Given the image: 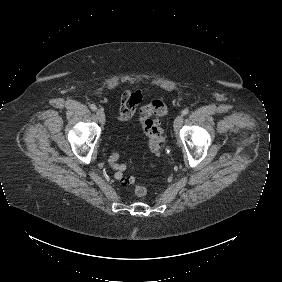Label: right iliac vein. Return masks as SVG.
Here are the masks:
<instances>
[{"instance_id": "1", "label": "right iliac vein", "mask_w": 282, "mask_h": 282, "mask_svg": "<svg viewBox=\"0 0 282 282\" xmlns=\"http://www.w3.org/2000/svg\"><path fill=\"white\" fill-rule=\"evenodd\" d=\"M97 118L101 124L105 123V114L102 109L96 111Z\"/></svg>"}]
</instances>
